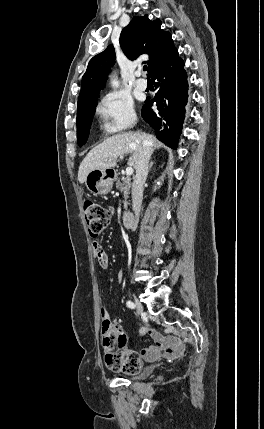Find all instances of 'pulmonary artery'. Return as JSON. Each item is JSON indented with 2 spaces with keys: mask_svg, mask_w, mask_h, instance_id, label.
Returning a JSON list of instances; mask_svg holds the SVG:
<instances>
[{
  "mask_svg": "<svg viewBox=\"0 0 264 429\" xmlns=\"http://www.w3.org/2000/svg\"><path fill=\"white\" fill-rule=\"evenodd\" d=\"M136 75H137L138 79H137V80H136V82H135V87H136L138 90H141V91L146 90V89H147V82H146V80H144L143 78H141V77H140V76H141V72H140V71H138V72L136 73Z\"/></svg>",
  "mask_w": 264,
  "mask_h": 429,
  "instance_id": "pulmonary-artery-1",
  "label": "pulmonary artery"
}]
</instances>
